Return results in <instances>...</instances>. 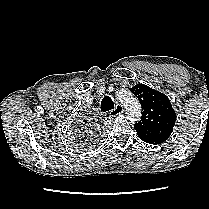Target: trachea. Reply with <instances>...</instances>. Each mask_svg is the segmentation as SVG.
<instances>
[{
  "instance_id": "1",
  "label": "trachea",
  "mask_w": 209,
  "mask_h": 209,
  "mask_svg": "<svg viewBox=\"0 0 209 209\" xmlns=\"http://www.w3.org/2000/svg\"><path fill=\"white\" fill-rule=\"evenodd\" d=\"M101 111L107 112L114 109V103L109 96H105L101 101Z\"/></svg>"
}]
</instances>
